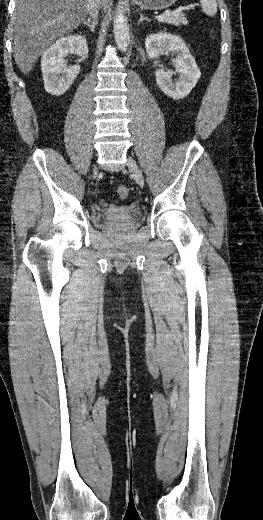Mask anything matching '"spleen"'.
<instances>
[{
	"instance_id": "3e777b00",
	"label": "spleen",
	"mask_w": 263,
	"mask_h": 520,
	"mask_svg": "<svg viewBox=\"0 0 263 520\" xmlns=\"http://www.w3.org/2000/svg\"><path fill=\"white\" fill-rule=\"evenodd\" d=\"M203 12L208 16H214L217 13L216 0H200Z\"/></svg>"
}]
</instances>
